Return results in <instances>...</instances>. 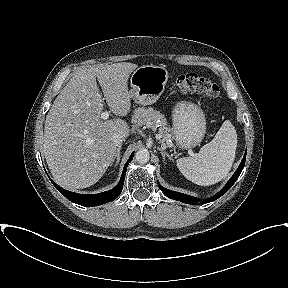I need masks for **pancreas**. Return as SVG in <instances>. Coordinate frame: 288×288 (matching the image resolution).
I'll return each instance as SVG.
<instances>
[{"label": "pancreas", "instance_id": "1", "mask_svg": "<svg viewBox=\"0 0 288 288\" xmlns=\"http://www.w3.org/2000/svg\"><path fill=\"white\" fill-rule=\"evenodd\" d=\"M132 123L136 126H156L159 125V135L163 139H168L170 137L171 128L168 127L167 120L163 114L159 111L153 109L152 107L144 108L139 107L134 110L132 116Z\"/></svg>", "mask_w": 288, "mask_h": 288}]
</instances>
